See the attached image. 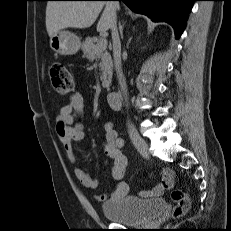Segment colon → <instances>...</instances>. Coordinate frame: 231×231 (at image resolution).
<instances>
[{
	"label": "colon",
	"instance_id": "5ec220e1",
	"mask_svg": "<svg viewBox=\"0 0 231 231\" xmlns=\"http://www.w3.org/2000/svg\"><path fill=\"white\" fill-rule=\"evenodd\" d=\"M50 79L55 92L60 96L71 94L75 89V81L69 70L61 63L50 66ZM175 217L184 215L190 206L189 199L179 190L173 192Z\"/></svg>",
	"mask_w": 231,
	"mask_h": 231
}]
</instances>
